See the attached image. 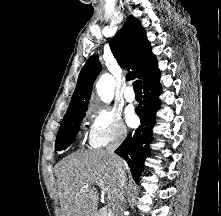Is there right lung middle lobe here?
I'll return each mask as SVG.
<instances>
[{"instance_id": "dd1d6c3e", "label": "right lung middle lobe", "mask_w": 221, "mask_h": 216, "mask_svg": "<svg viewBox=\"0 0 221 216\" xmlns=\"http://www.w3.org/2000/svg\"><path fill=\"white\" fill-rule=\"evenodd\" d=\"M85 112L86 110L63 118L55 141L57 151L65 150L75 140Z\"/></svg>"}]
</instances>
